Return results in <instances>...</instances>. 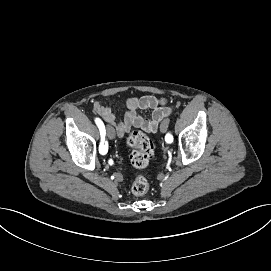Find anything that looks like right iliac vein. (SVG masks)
<instances>
[{
    "instance_id": "63e3f726",
    "label": "right iliac vein",
    "mask_w": 271,
    "mask_h": 271,
    "mask_svg": "<svg viewBox=\"0 0 271 271\" xmlns=\"http://www.w3.org/2000/svg\"><path fill=\"white\" fill-rule=\"evenodd\" d=\"M107 136L110 140L115 138V131L111 126H107Z\"/></svg>"
}]
</instances>
